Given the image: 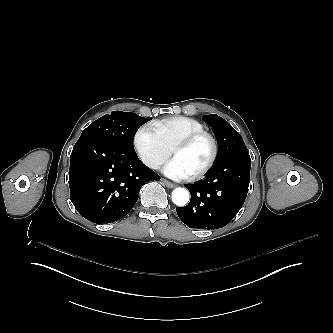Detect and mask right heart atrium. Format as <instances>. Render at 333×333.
Returning a JSON list of instances; mask_svg holds the SVG:
<instances>
[{
	"mask_svg": "<svg viewBox=\"0 0 333 333\" xmlns=\"http://www.w3.org/2000/svg\"><path fill=\"white\" fill-rule=\"evenodd\" d=\"M134 147L139 158L151 170H158L171 153L152 125L140 128L135 136Z\"/></svg>",
	"mask_w": 333,
	"mask_h": 333,
	"instance_id": "1",
	"label": "right heart atrium"
}]
</instances>
